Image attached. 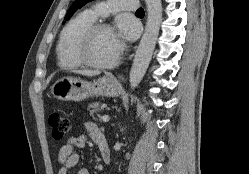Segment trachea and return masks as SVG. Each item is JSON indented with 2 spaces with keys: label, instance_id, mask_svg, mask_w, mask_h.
<instances>
[{
  "label": "trachea",
  "instance_id": "obj_1",
  "mask_svg": "<svg viewBox=\"0 0 249 174\" xmlns=\"http://www.w3.org/2000/svg\"><path fill=\"white\" fill-rule=\"evenodd\" d=\"M136 14H144V9H143V8H139V9L136 11Z\"/></svg>",
  "mask_w": 249,
  "mask_h": 174
}]
</instances>
